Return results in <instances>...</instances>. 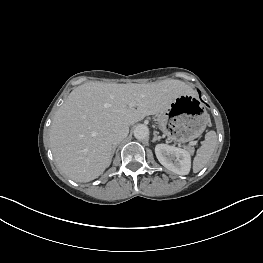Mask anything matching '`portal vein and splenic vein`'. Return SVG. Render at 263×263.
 Here are the masks:
<instances>
[{
	"label": "portal vein and splenic vein",
	"instance_id": "1",
	"mask_svg": "<svg viewBox=\"0 0 263 263\" xmlns=\"http://www.w3.org/2000/svg\"><path fill=\"white\" fill-rule=\"evenodd\" d=\"M132 106H134V104H132ZM190 144L193 145V142H191Z\"/></svg>",
	"mask_w": 263,
	"mask_h": 263
}]
</instances>
